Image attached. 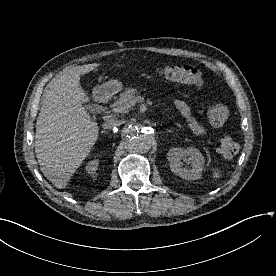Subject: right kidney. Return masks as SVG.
I'll return each instance as SVG.
<instances>
[{
  "mask_svg": "<svg viewBox=\"0 0 276 276\" xmlns=\"http://www.w3.org/2000/svg\"><path fill=\"white\" fill-rule=\"evenodd\" d=\"M98 160H92L90 162H88V164L85 166V171L87 174H89L90 176H95L96 175V171L98 169Z\"/></svg>",
  "mask_w": 276,
  "mask_h": 276,
  "instance_id": "1",
  "label": "right kidney"
}]
</instances>
